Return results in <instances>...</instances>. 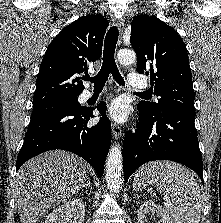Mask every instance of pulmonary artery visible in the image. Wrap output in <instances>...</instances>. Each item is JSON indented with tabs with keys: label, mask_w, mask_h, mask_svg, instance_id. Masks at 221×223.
I'll use <instances>...</instances> for the list:
<instances>
[{
	"label": "pulmonary artery",
	"mask_w": 221,
	"mask_h": 223,
	"mask_svg": "<svg viewBox=\"0 0 221 223\" xmlns=\"http://www.w3.org/2000/svg\"><path fill=\"white\" fill-rule=\"evenodd\" d=\"M128 82H129L130 86H132L134 88H140V89H144L148 85L147 80L143 77H140L136 73L128 74ZM92 94H93L92 91L87 90L85 92V98H90L92 96Z\"/></svg>",
	"instance_id": "obj_1"
}]
</instances>
